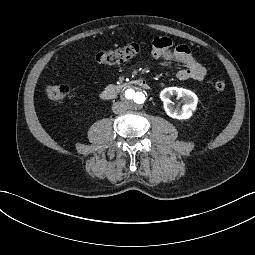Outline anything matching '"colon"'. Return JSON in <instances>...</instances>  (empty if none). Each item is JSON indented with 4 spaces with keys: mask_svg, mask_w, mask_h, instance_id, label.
Masks as SVG:
<instances>
[{
    "mask_svg": "<svg viewBox=\"0 0 255 255\" xmlns=\"http://www.w3.org/2000/svg\"><path fill=\"white\" fill-rule=\"evenodd\" d=\"M139 52V46L135 42H129L124 47L118 49L103 48L96 55V61L103 64H118L129 60ZM226 84L223 80H217L214 83L216 93L224 91ZM44 93L47 99L52 103L63 101L70 93V88L64 84H48L44 87Z\"/></svg>",
    "mask_w": 255,
    "mask_h": 255,
    "instance_id": "obj_1",
    "label": "colon"
}]
</instances>
